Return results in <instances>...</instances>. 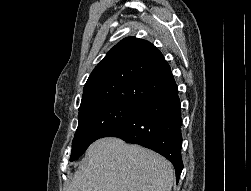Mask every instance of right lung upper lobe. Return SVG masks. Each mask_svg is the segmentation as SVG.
<instances>
[{"instance_id":"cb5924a9","label":"right lung upper lobe","mask_w":251,"mask_h":191,"mask_svg":"<svg viewBox=\"0 0 251 191\" xmlns=\"http://www.w3.org/2000/svg\"><path fill=\"white\" fill-rule=\"evenodd\" d=\"M174 84L162 53L146 40L127 37L92 71L79 111L109 102L142 106Z\"/></svg>"}]
</instances>
